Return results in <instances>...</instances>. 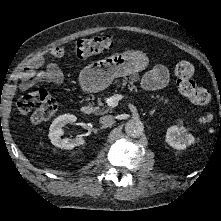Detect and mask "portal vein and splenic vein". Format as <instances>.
Instances as JSON below:
<instances>
[{
    "label": "portal vein and splenic vein",
    "instance_id": "18ae733b",
    "mask_svg": "<svg viewBox=\"0 0 221 221\" xmlns=\"http://www.w3.org/2000/svg\"><path fill=\"white\" fill-rule=\"evenodd\" d=\"M123 98H124L123 95L117 94V95H114V96L110 97L109 99H107V103H108L109 106L115 107V106L118 105V101L123 99Z\"/></svg>",
    "mask_w": 221,
    "mask_h": 221
}]
</instances>
